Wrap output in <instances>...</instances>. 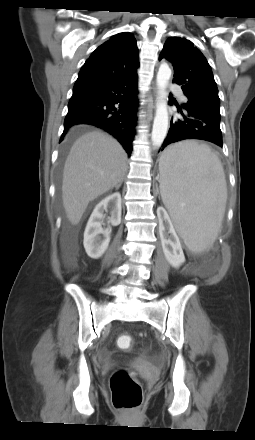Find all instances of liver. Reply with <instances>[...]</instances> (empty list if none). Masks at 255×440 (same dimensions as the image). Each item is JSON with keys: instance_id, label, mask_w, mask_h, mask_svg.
<instances>
[{"instance_id": "obj_1", "label": "liver", "mask_w": 255, "mask_h": 440, "mask_svg": "<svg viewBox=\"0 0 255 440\" xmlns=\"http://www.w3.org/2000/svg\"><path fill=\"white\" fill-rule=\"evenodd\" d=\"M167 165L166 158L159 167ZM127 154L113 137L91 131L71 147L63 170L62 200L67 219L77 225L89 202L117 186L125 175Z\"/></svg>"}]
</instances>
